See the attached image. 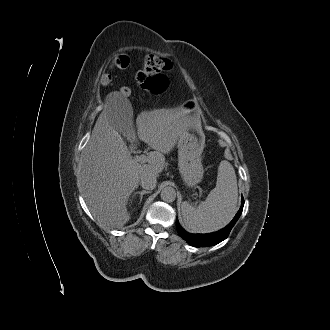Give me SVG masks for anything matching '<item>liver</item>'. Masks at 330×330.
I'll list each match as a JSON object with an SVG mask.
<instances>
[{"label":"liver","instance_id":"liver-1","mask_svg":"<svg viewBox=\"0 0 330 330\" xmlns=\"http://www.w3.org/2000/svg\"><path fill=\"white\" fill-rule=\"evenodd\" d=\"M118 111L119 107L107 105L99 115L85 147L80 172L82 195L93 217L114 228H121L130 220L126 205L142 175L152 173L157 177L164 169V154L194 128L187 113L179 107L141 112L136 119L138 138L155 151L146 156L147 164H140L131 157L126 142L114 127L121 123ZM123 135L135 141L134 125L126 128Z\"/></svg>","mask_w":330,"mask_h":330}]
</instances>
